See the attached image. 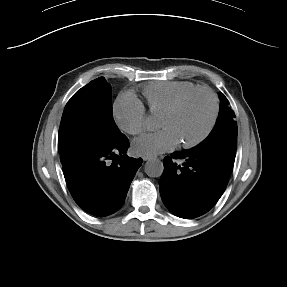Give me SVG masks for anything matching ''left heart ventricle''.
Wrapping results in <instances>:
<instances>
[{
  "instance_id": "obj_1",
  "label": "left heart ventricle",
  "mask_w": 287,
  "mask_h": 287,
  "mask_svg": "<svg viewBox=\"0 0 287 287\" xmlns=\"http://www.w3.org/2000/svg\"><path fill=\"white\" fill-rule=\"evenodd\" d=\"M212 104L205 93H198L189 99L172 116H162L160 126L171 129L179 142H187L198 137L207 127Z\"/></svg>"
}]
</instances>
